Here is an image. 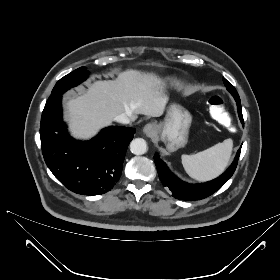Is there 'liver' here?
Segmentation results:
<instances>
[{
    "instance_id": "liver-1",
    "label": "liver",
    "mask_w": 280,
    "mask_h": 280,
    "mask_svg": "<svg viewBox=\"0 0 280 280\" xmlns=\"http://www.w3.org/2000/svg\"><path fill=\"white\" fill-rule=\"evenodd\" d=\"M164 82L155 74L127 70L116 80L95 81L88 90L66 102L71 134L90 139L122 113L159 117L166 106Z\"/></svg>"
}]
</instances>
